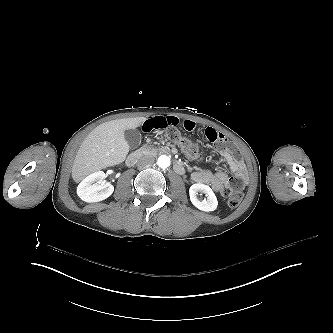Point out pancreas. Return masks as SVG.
<instances>
[{
	"label": "pancreas",
	"instance_id": "cf45deb5",
	"mask_svg": "<svg viewBox=\"0 0 333 333\" xmlns=\"http://www.w3.org/2000/svg\"><path fill=\"white\" fill-rule=\"evenodd\" d=\"M169 148L160 146V147H155L153 145L145 144L144 147L142 148V153L144 155H149V156H157L163 153H168Z\"/></svg>",
	"mask_w": 333,
	"mask_h": 333
}]
</instances>
